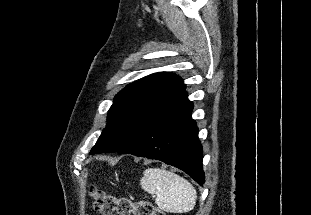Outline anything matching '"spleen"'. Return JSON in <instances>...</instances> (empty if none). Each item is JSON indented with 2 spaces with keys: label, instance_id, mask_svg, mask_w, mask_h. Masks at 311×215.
Here are the masks:
<instances>
[{
  "label": "spleen",
  "instance_id": "spleen-1",
  "mask_svg": "<svg viewBox=\"0 0 311 215\" xmlns=\"http://www.w3.org/2000/svg\"><path fill=\"white\" fill-rule=\"evenodd\" d=\"M141 187L155 195L157 206L170 213L191 211L196 204L197 192L185 178L159 168H148L140 180Z\"/></svg>",
  "mask_w": 311,
  "mask_h": 215
}]
</instances>
